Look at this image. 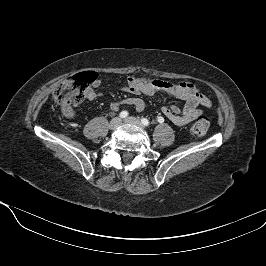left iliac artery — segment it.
<instances>
[{
  "label": "left iliac artery",
  "instance_id": "44dca946",
  "mask_svg": "<svg viewBox=\"0 0 266 266\" xmlns=\"http://www.w3.org/2000/svg\"><path fill=\"white\" fill-rule=\"evenodd\" d=\"M158 121H159L160 123H162V122H163V119H161V117H158ZM141 122H142V124L145 125V126H149V124H150L149 120L146 119V118H142V119H141Z\"/></svg>",
  "mask_w": 266,
  "mask_h": 266
}]
</instances>
